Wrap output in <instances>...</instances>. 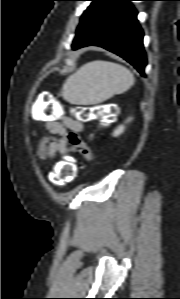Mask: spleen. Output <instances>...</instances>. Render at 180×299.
Segmentation results:
<instances>
[{
    "mask_svg": "<svg viewBox=\"0 0 180 299\" xmlns=\"http://www.w3.org/2000/svg\"><path fill=\"white\" fill-rule=\"evenodd\" d=\"M135 78L123 65L96 60L86 63L63 84L61 95L71 104L93 105L127 91Z\"/></svg>",
    "mask_w": 180,
    "mask_h": 299,
    "instance_id": "obj_1",
    "label": "spleen"
}]
</instances>
